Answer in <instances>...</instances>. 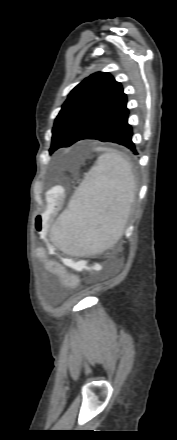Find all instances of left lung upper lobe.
Listing matches in <instances>:
<instances>
[{
	"label": "left lung upper lobe",
	"instance_id": "1",
	"mask_svg": "<svg viewBox=\"0 0 177 440\" xmlns=\"http://www.w3.org/2000/svg\"><path fill=\"white\" fill-rule=\"evenodd\" d=\"M126 104L122 85L112 75L97 72L87 77L70 92L55 119L50 154L81 140Z\"/></svg>",
	"mask_w": 177,
	"mask_h": 440
}]
</instances>
